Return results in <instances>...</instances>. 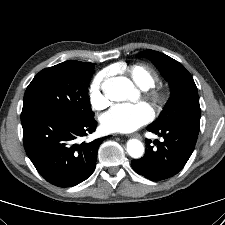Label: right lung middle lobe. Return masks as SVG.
<instances>
[{"label": "right lung middle lobe", "instance_id": "right-lung-middle-lobe-1", "mask_svg": "<svg viewBox=\"0 0 225 225\" xmlns=\"http://www.w3.org/2000/svg\"><path fill=\"white\" fill-rule=\"evenodd\" d=\"M94 64L68 60L40 71L28 85L23 109L60 111L79 121L94 118L87 97Z\"/></svg>", "mask_w": 225, "mask_h": 225}]
</instances>
